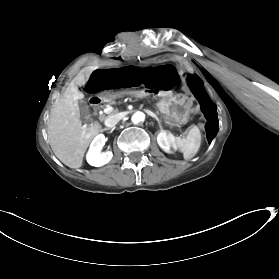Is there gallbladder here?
Returning <instances> with one entry per match:
<instances>
[{"instance_id": "bac80fb5", "label": "gallbladder", "mask_w": 279, "mask_h": 279, "mask_svg": "<svg viewBox=\"0 0 279 279\" xmlns=\"http://www.w3.org/2000/svg\"><path fill=\"white\" fill-rule=\"evenodd\" d=\"M80 108H81V118L84 122H86V118L89 116L88 110H87V105L84 104L83 102H81Z\"/></svg>"}]
</instances>
